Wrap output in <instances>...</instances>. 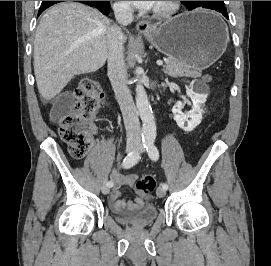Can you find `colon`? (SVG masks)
I'll use <instances>...</instances> for the list:
<instances>
[{
  "mask_svg": "<svg viewBox=\"0 0 271 266\" xmlns=\"http://www.w3.org/2000/svg\"><path fill=\"white\" fill-rule=\"evenodd\" d=\"M75 94L72 110L60 120V135L68 144L71 156L82 158L92 147L91 125L105 97L100 84L91 78H84ZM155 186L151 175H144L135 183L136 189L146 195L151 194Z\"/></svg>",
  "mask_w": 271,
  "mask_h": 266,
  "instance_id": "obj_1",
  "label": "colon"
}]
</instances>
